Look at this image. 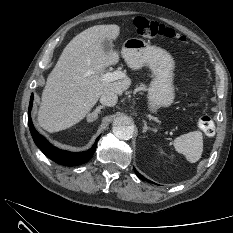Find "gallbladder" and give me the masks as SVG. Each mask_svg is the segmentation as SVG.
Segmentation results:
<instances>
[{
  "label": "gallbladder",
  "instance_id": "obj_1",
  "mask_svg": "<svg viewBox=\"0 0 233 233\" xmlns=\"http://www.w3.org/2000/svg\"><path fill=\"white\" fill-rule=\"evenodd\" d=\"M113 48L114 46L111 41L106 40L103 42V49L105 52H110L113 50Z\"/></svg>",
  "mask_w": 233,
  "mask_h": 233
}]
</instances>
